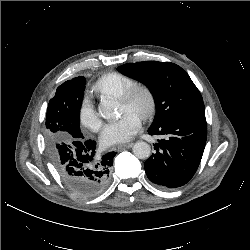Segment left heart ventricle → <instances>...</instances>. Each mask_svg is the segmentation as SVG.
Masks as SVG:
<instances>
[{"label": "left heart ventricle", "mask_w": 250, "mask_h": 250, "mask_svg": "<svg viewBox=\"0 0 250 250\" xmlns=\"http://www.w3.org/2000/svg\"><path fill=\"white\" fill-rule=\"evenodd\" d=\"M146 100L144 96L140 95L136 98L135 102L132 105H126L119 101L120 113L132 112L137 116L140 115V112L145 107Z\"/></svg>", "instance_id": "obj_1"}]
</instances>
